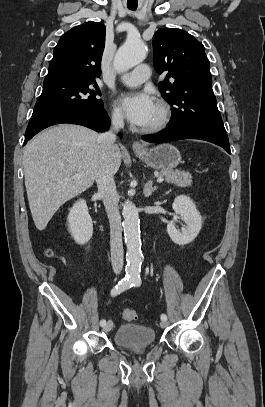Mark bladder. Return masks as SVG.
I'll use <instances>...</instances> for the list:
<instances>
[{
	"mask_svg": "<svg viewBox=\"0 0 265 407\" xmlns=\"http://www.w3.org/2000/svg\"><path fill=\"white\" fill-rule=\"evenodd\" d=\"M155 337V331L152 327L123 324L116 330L114 342L124 348H144L152 345Z\"/></svg>",
	"mask_w": 265,
	"mask_h": 407,
	"instance_id": "bladder-1",
	"label": "bladder"
}]
</instances>
